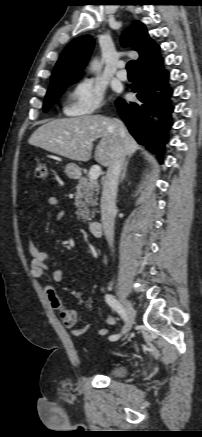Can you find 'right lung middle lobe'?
Segmentation results:
<instances>
[{
    "label": "right lung middle lobe",
    "instance_id": "1",
    "mask_svg": "<svg viewBox=\"0 0 202 437\" xmlns=\"http://www.w3.org/2000/svg\"><path fill=\"white\" fill-rule=\"evenodd\" d=\"M79 79L80 77H76L69 80L59 81L50 85L44 100L43 111L47 112L55 103V101L61 96L66 87L77 82Z\"/></svg>",
    "mask_w": 202,
    "mask_h": 437
}]
</instances>
